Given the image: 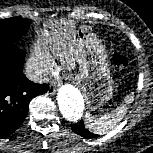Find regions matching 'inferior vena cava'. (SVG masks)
I'll use <instances>...</instances> for the list:
<instances>
[{"label":"inferior vena cava","mask_w":153,"mask_h":153,"mask_svg":"<svg viewBox=\"0 0 153 153\" xmlns=\"http://www.w3.org/2000/svg\"><path fill=\"white\" fill-rule=\"evenodd\" d=\"M25 75L29 80L35 83H45L49 81L48 72L33 65L26 66Z\"/></svg>","instance_id":"obj_1"}]
</instances>
